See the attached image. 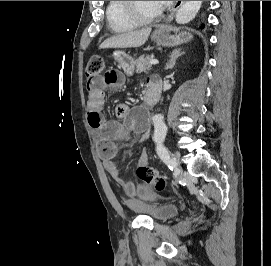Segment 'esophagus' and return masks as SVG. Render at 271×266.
<instances>
[{
	"instance_id": "obj_1",
	"label": "esophagus",
	"mask_w": 271,
	"mask_h": 266,
	"mask_svg": "<svg viewBox=\"0 0 271 266\" xmlns=\"http://www.w3.org/2000/svg\"><path fill=\"white\" fill-rule=\"evenodd\" d=\"M184 2H185V1H176V2H175L174 7H173V9H172L170 15L168 16L166 22H170V21L173 19L175 13H176L177 10L180 8V6H182V4H183Z\"/></svg>"
}]
</instances>
